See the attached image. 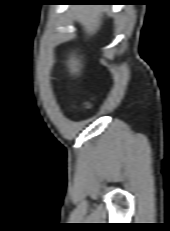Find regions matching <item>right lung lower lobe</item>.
Masks as SVG:
<instances>
[{
    "label": "right lung lower lobe",
    "mask_w": 170,
    "mask_h": 231,
    "mask_svg": "<svg viewBox=\"0 0 170 231\" xmlns=\"http://www.w3.org/2000/svg\"><path fill=\"white\" fill-rule=\"evenodd\" d=\"M64 1H69V0H64ZM72 1L87 2V3L88 2L89 3H96V2H112L114 0H72Z\"/></svg>",
    "instance_id": "98d812e1"
}]
</instances>
